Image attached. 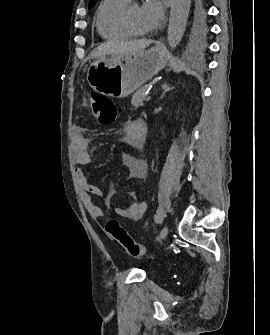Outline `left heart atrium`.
Wrapping results in <instances>:
<instances>
[{"label":"left heart atrium","instance_id":"1","mask_svg":"<svg viewBox=\"0 0 270 335\" xmlns=\"http://www.w3.org/2000/svg\"><path fill=\"white\" fill-rule=\"evenodd\" d=\"M165 21L164 10L157 0H148L141 7V26L145 33H154Z\"/></svg>","mask_w":270,"mask_h":335}]
</instances>
